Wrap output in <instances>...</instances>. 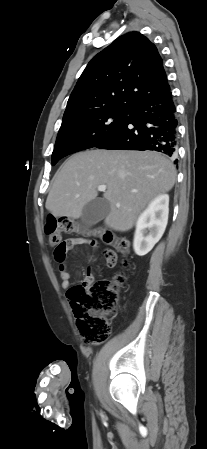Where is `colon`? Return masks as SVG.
I'll list each match as a JSON object with an SVG mask.
<instances>
[{
  "label": "colon",
  "mask_w": 207,
  "mask_h": 449,
  "mask_svg": "<svg viewBox=\"0 0 207 449\" xmlns=\"http://www.w3.org/2000/svg\"><path fill=\"white\" fill-rule=\"evenodd\" d=\"M44 232L48 241L55 246L54 257L60 265H65L68 252L75 246L73 239L62 241L61 233H78L92 237L89 241L91 245L96 244V239H101L123 255H128L131 250L127 238L116 236L101 227L82 228L79 223L70 219L48 220L44 225ZM112 252L114 251L110 249L104 252L106 264L109 266L115 263ZM124 279V275L117 274L112 281L84 280L68 289L67 298L73 307L77 326L88 343H98L110 336V320L116 316L118 291Z\"/></svg>",
  "instance_id": "obj_1"
}]
</instances>
